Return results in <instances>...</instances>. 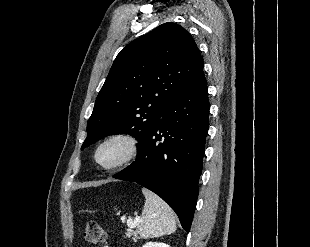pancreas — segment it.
I'll list each match as a JSON object with an SVG mask.
<instances>
[{
  "mask_svg": "<svg viewBox=\"0 0 310 247\" xmlns=\"http://www.w3.org/2000/svg\"><path fill=\"white\" fill-rule=\"evenodd\" d=\"M132 236V240L136 241L138 239L137 232H134L133 230L128 229L126 232V237L130 238Z\"/></svg>",
  "mask_w": 310,
  "mask_h": 247,
  "instance_id": "pancreas-1",
  "label": "pancreas"
}]
</instances>
